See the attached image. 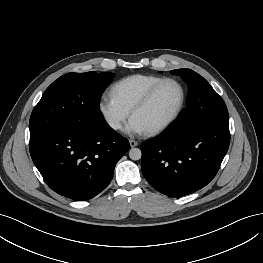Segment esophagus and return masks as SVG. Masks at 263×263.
I'll return each instance as SVG.
<instances>
[{
    "label": "esophagus",
    "instance_id": "obj_1",
    "mask_svg": "<svg viewBox=\"0 0 263 263\" xmlns=\"http://www.w3.org/2000/svg\"><path fill=\"white\" fill-rule=\"evenodd\" d=\"M129 144H130L131 147H135V146L138 145V142L131 139V140H129Z\"/></svg>",
    "mask_w": 263,
    "mask_h": 263
}]
</instances>
